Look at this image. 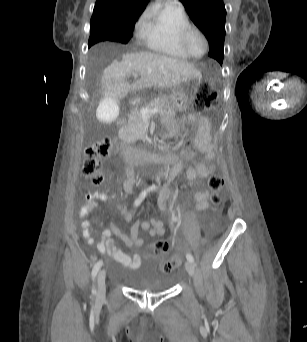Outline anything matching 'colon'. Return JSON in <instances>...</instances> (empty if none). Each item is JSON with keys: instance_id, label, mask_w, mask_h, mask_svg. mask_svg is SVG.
Here are the masks:
<instances>
[{"instance_id": "colon-1", "label": "colon", "mask_w": 307, "mask_h": 342, "mask_svg": "<svg viewBox=\"0 0 307 342\" xmlns=\"http://www.w3.org/2000/svg\"><path fill=\"white\" fill-rule=\"evenodd\" d=\"M199 93L206 94L200 100L194 103L196 111L204 112L209 108L216 107L215 90H212L210 82H199ZM115 145V140L104 138L96 143L89 144L84 150V162L82 165V174L88 178L94 185H102L104 176L101 171V163L110 157L111 151ZM224 185L223 177L219 174H211L208 177V186L211 190V203L213 210L218 211L223 203L222 189ZM170 246L165 240L156 242L152 249L159 256L165 255ZM180 256H174L161 264L160 270L164 274L171 273L174 268L180 264Z\"/></svg>"}]
</instances>
